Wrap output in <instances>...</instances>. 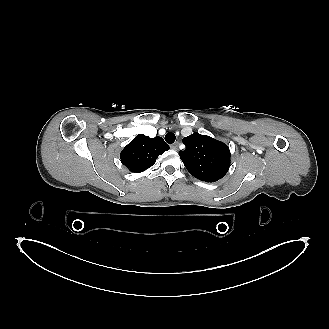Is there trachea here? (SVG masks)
<instances>
[{"label": "trachea", "mask_w": 329, "mask_h": 329, "mask_svg": "<svg viewBox=\"0 0 329 329\" xmlns=\"http://www.w3.org/2000/svg\"><path fill=\"white\" fill-rule=\"evenodd\" d=\"M175 139H176V137H175L174 133H172V132H169L165 135V141L169 144L174 143Z\"/></svg>", "instance_id": "1"}]
</instances>
